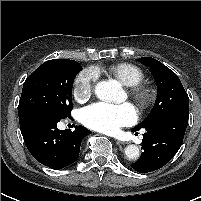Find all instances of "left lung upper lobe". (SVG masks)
<instances>
[{
	"mask_svg": "<svg viewBox=\"0 0 201 201\" xmlns=\"http://www.w3.org/2000/svg\"><path fill=\"white\" fill-rule=\"evenodd\" d=\"M139 62L148 66L158 88L155 105L148 117L132 130H140L153 120L171 113L189 114V98L179 77L164 64L151 57H142Z\"/></svg>",
	"mask_w": 201,
	"mask_h": 201,
	"instance_id": "5c2ea615",
	"label": "left lung upper lobe"
}]
</instances>
